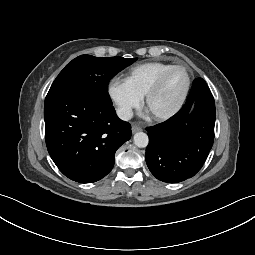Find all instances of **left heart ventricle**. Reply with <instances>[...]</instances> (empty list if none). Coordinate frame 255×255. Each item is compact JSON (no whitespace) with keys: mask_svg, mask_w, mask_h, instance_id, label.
<instances>
[{"mask_svg":"<svg viewBox=\"0 0 255 255\" xmlns=\"http://www.w3.org/2000/svg\"><path fill=\"white\" fill-rule=\"evenodd\" d=\"M186 84L187 74L183 69L171 72L161 90L152 98L149 110L160 114L172 109L182 96Z\"/></svg>","mask_w":255,"mask_h":255,"instance_id":"b2bd125f","label":"left heart ventricle"}]
</instances>
